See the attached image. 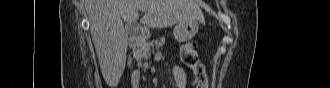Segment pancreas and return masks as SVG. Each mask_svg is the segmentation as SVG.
<instances>
[{
  "mask_svg": "<svg viewBox=\"0 0 330 88\" xmlns=\"http://www.w3.org/2000/svg\"><path fill=\"white\" fill-rule=\"evenodd\" d=\"M166 40L164 37H161L159 39L146 42L143 46V48L140 50V58H144L145 60H148L151 56V52L154 51V49H158L162 47L163 44H165Z\"/></svg>",
  "mask_w": 330,
  "mask_h": 88,
  "instance_id": "1",
  "label": "pancreas"
}]
</instances>
